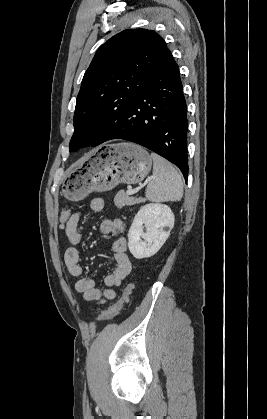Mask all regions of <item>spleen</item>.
<instances>
[{
    "label": "spleen",
    "instance_id": "3e777b00",
    "mask_svg": "<svg viewBox=\"0 0 267 419\" xmlns=\"http://www.w3.org/2000/svg\"><path fill=\"white\" fill-rule=\"evenodd\" d=\"M153 159V180L145 190L146 200L152 202L180 201L183 196V182L176 168L156 153Z\"/></svg>",
    "mask_w": 267,
    "mask_h": 419
}]
</instances>
